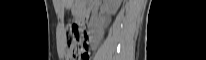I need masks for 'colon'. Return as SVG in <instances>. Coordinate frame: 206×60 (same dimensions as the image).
Segmentation results:
<instances>
[{"instance_id": "obj_1", "label": "colon", "mask_w": 206, "mask_h": 60, "mask_svg": "<svg viewBox=\"0 0 206 60\" xmlns=\"http://www.w3.org/2000/svg\"><path fill=\"white\" fill-rule=\"evenodd\" d=\"M67 54L69 60H88L87 35L76 24L66 29Z\"/></svg>"}]
</instances>
